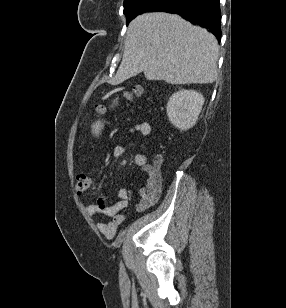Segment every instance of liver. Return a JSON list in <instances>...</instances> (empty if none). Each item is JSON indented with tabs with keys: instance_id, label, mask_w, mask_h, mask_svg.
Instances as JSON below:
<instances>
[{
	"instance_id": "obj_1",
	"label": "liver",
	"mask_w": 286,
	"mask_h": 308,
	"mask_svg": "<svg viewBox=\"0 0 286 308\" xmlns=\"http://www.w3.org/2000/svg\"><path fill=\"white\" fill-rule=\"evenodd\" d=\"M218 44L213 34L178 15L145 13L127 29L121 64L111 84L144 72L147 80L208 84L217 77Z\"/></svg>"
}]
</instances>
